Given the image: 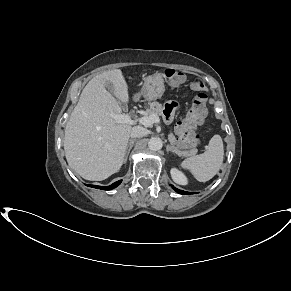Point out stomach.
<instances>
[{
  "label": "stomach",
  "instance_id": "0dacf381",
  "mask_svg": "<svg viewBox=\"0 0 291 291\" xmlns=\"http://www.w3.org/2000/svg\"><path fill=\"white\" fill-rule=\"evenodd\" d=\"M165 92V84L163 75L155 73L145 79L140 93L136 96H143L146 100H155L163 96Z\"/></svg>",
  "mask_w": 291,
  "mask_h": 291
}]
</instances>
